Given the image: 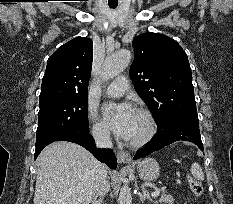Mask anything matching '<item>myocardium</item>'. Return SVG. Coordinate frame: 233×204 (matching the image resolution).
<instances>
[{
    "label": "myocardium",
    "instance_id": "1",
    "mask_svg": "<svg viewBox=\"0 0 233 204\" xmlns=\"http://www.w3.org/2000/svg\"><path fill=\"white\" fill-rule=\"evenodd\" d=\"M135 112L143 116L147 125V129L140 138L128 140V144L133 148H140L148 144L154 138L157 132V124L153 114L148 109L137 108Z\"/></svg>",
    "mask_w": 233,
    "mask_h": 204
}]
</instances>
